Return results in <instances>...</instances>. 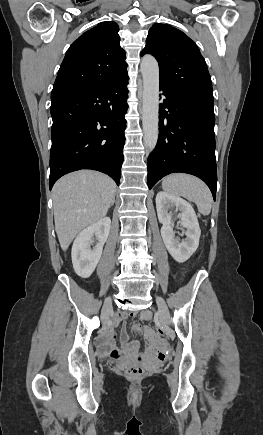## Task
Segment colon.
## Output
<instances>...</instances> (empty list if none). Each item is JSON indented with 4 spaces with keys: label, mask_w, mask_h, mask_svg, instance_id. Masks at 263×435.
Returning <instances> with one entry per match:
<instances>
[{
    "label": "colon",
    "mask_w": 263,
    "mask_h": 435,
    "mask_svg": "<svg viewBox=\"0 0 263 435\" xmlns=\"http://www.w3.org/2000/svg\"><path fill=\"white\" fill-rule=\"evenodd\" d=\"M153 327L157 330V332H159V334L161 336H163L165 334V331L160 326V324H155ZM161 343H162V341H161ZM162 349H163V344H162ZM144 373H145L144 367L138 363L131 364L125 369V374L130 379H139L143 376Z\"/></svg>",
    "instance_id": "colon-1"
}]
</instances>
